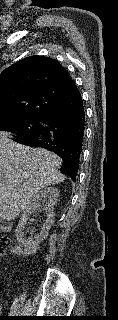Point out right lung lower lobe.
Segmentation results:
<instances>
[{"label":"right lung lower lobe","mask_w":118,"mask_h":320,"mask_svg":"<svg viewBox=\"0 0 118 320\" xmlns=\"http://www.w3.org/2000/svg\"><path fill=\"white\" fill-rule=\"evenodd\" d=\"M42 122L43 125L38 132L15 141L53 151L63 160L61 172L75 180L85 129V111L81 95L54 107Z\"/></svg>","instance_id":"98d812e1"}]
</instances>
